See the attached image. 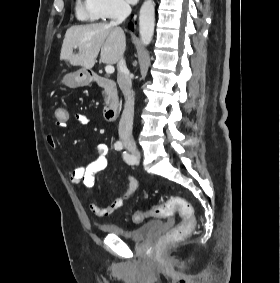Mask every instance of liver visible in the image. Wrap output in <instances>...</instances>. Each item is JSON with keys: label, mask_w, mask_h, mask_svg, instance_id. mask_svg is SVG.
Returning a JSON list of instances; mask_svg holds the SVG:
<instances>
[{"label": "liver", "mask_w": 280, "mask_h": 283, "mask_svg": "<svg viewBox=\"0 0 280 283\" xmlns=\"http://www.w3.org/2000/svg\"><path fill=\"white\" fill-rule=\"evenodd\" d=\"M79 48L77 54L73 53ZM126 49L124 31L108 23H93L70 27L65 34L60 59L71 65L91 69L100 53V61L116 64Z\"/></svg>", "instance_id": "6515ba94"}]
</instances>
